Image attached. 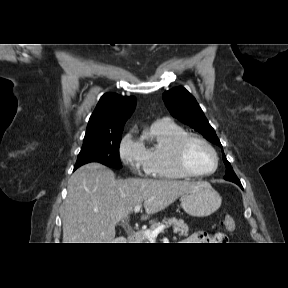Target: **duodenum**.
<instances>
[{
  "label": "duodenum",
  "instance_id": "obj_1",
  "mask_svg": "<svg viewBox=\"0 0 288 288\" xmlns=\"http://www.w3.org/2000/svg\"><path fill=\"white\" fill-rule=\"evenodd\" d=\"M121 241H122V243H130V238L122 237Z\"/></svg>",
  "mask_w": 288,
  "mask_h": 288
}]
</instances>
